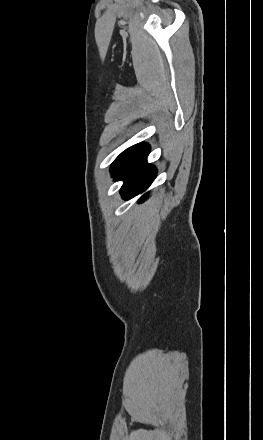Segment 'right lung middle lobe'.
<instances>
[{
  "instance_id": "dd1d6c3e",
  "label": "right lung middle lobe",
  "mask_w": 263,
  "mask_h": 440,
  "mask_svg": "<svg viewBox=\"0 0 263 440\" xmlns=\"http://www.w3.org/2000/svg\"><path fill=\"white\" fill-rule=\"evenodd\" d=\"M136 147V145L126 149L124 152H122L112 163L111 165V173L113 174L120 165L126 160V158L130 155V153L133 151V149Z\"/></svg>"
}]
</instances>
